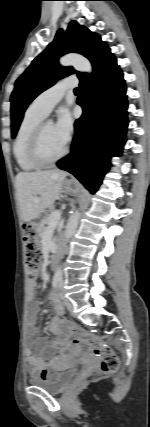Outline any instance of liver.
<instances>
[{
  "instance_id": "liver-1",
  "label": "liver",
  "mask_w": 150,
  "mask_h": 427,
  "mask_svg": "<svg viewBox=\"0 0 150 427\" xmlns=\"http://www.w3.org/2000/svg\"><path fill=\"white\" fill-rule=\"evenodd\" d=\"M66 172L47 170L39 172H20L16 176V189L23 221L38 218L59 197ZM40 201H34L37 196Z\"/></svg>"
}]
</instances>
